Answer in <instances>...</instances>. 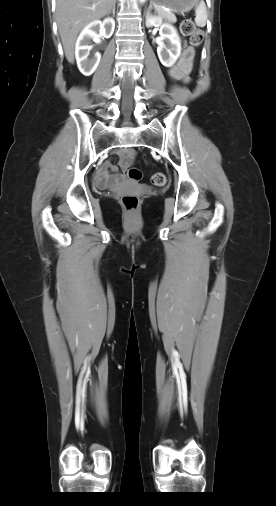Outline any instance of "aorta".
I'll list each match as a JSON object with an SVG mask.
<instances>
[{"label": "aorta", "instance_id": "1", "mask_svg": "<svg viewBox=\"0 0 276 506\" xmlns=\"http://www.w3.org/2000/svg\"><path fill=\"white\" fill-rule=\"evenodd\" d=\"M140 2H142V3H143V2H145V0H140Z\"/></svg>", "mask_w": 276, "mask_h": 506}]
</instances>
